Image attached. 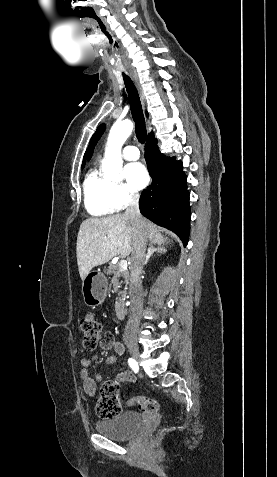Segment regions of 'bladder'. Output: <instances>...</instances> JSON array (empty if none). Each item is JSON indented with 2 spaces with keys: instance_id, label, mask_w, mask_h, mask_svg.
<instances>
[{
  "instance_id": "obj_1",
  "label": "bladder",
  "mask_w": 277,
  "mask_h": 477,
  "mask_svg": "<svg viewBox=\"0 0 277 477\" xmlns=\"http://www.w3.org/2000/svg\"><path fill=\"white\" fill-rule=\"evenodd\" d=\"M142 416L135 411H124L118 415L98 420L95 428L98 433L115 440L132 437L142 426Z\"/></svg>"
}]
</instances>
